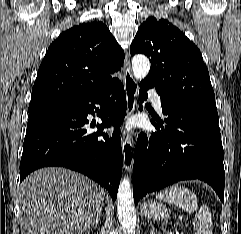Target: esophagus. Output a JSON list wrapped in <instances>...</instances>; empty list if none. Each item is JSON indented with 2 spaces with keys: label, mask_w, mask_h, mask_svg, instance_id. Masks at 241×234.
<instances>
[{
  "label": "esophagus",
  "mask_w": 241,
  "mask_h": 234,
  "mask_svg": "<svg viewBox=\"0 0 241 234\" xmlns=\"http://www.w3.org/2000/svg\"><path fill=\"white\" fill-rule=\"evenodd\" d=\"M124 90L126 94L127 110L126 117L131 116L137 106V97H138V83L132 75L131 65L128 54L125 56L124 60ZM122 152H123V162L124 168L128 171H132L133 167V143L131 136L124 132L122 136Z\"/></svg>",
  "instance_id": "34e87169"
}]
</instances>
